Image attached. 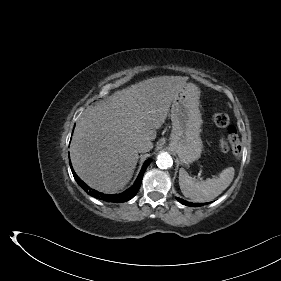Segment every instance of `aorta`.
<instances>
[{"label": "aorta", "mask_w": 281, "mask_h": 281, "mask_svg": "<svg viewBox=\"0 0 281 281\" xmlns=\"http://www.w3.org/2000/svg\"><path fill=\"white\" fill-rule=\"evenodd\" d=\"M156 164L159 168L167 169L173 165V160L169 153L161 152L157 157Z\"/></svg>", "instance_id": "obj_1"}]
</instances>
